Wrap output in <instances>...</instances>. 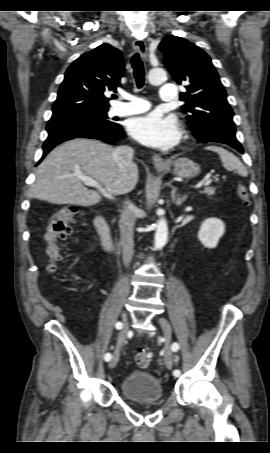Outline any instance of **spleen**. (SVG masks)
Segmentation results:
<instances>
[{
	"mask_svg": "<svg viewBox=\"0 0 270 453\" xmlns=\"http://www.w3.org/2000/svg\"><path fill=\"white\" fill-rule=\"evenodd\" d=\"M208 150H211L219 154L223 167L229 171H236L240 176L246 177L247 170L242 162L233 153L225 150L224 148L217 146H208Z\"/></svg>",
	"mask_w": 270,
	"mask_h": 453,
	"instance_id": "obj_1",
	"label": "spleen"
}]
</instances>
